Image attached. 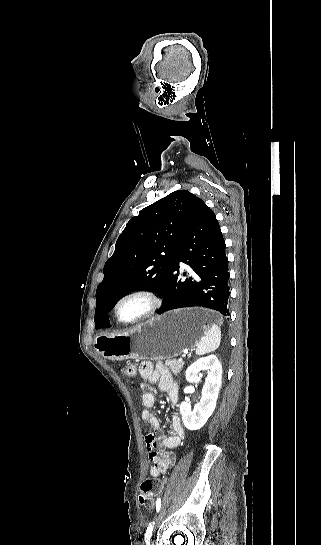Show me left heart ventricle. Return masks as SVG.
Listing matches in <instances>:
<instances>
[{
  "label": "left heart ventricle",
  "mask_w": 321,
  "mask_h": 545,
  "mask_svg": "<svg viewBox=\"0 0 321 545\" xmlns=\"http://www.w3.org/2000/svg\"><path fill=\"white\" fill-rule=\"evenodd\" d=\"M146 308V303L140 299H133L123 303L119 308V314L124 320H131L141 315Z\"/></svg>",
  "instance_id": "b2bd125f"
}]
</instances>
